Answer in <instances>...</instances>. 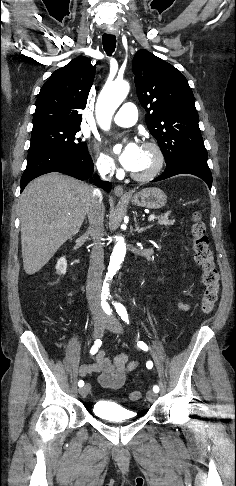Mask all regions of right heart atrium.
Listing matches in <instances>:
<instances>
[{
  "instance_id": "right-heart-atrium-1",
  "label": "right heart atrium",
  "mask_w": 236,
  "mask_h": 486,
  "mask_svg": "<svg viewBox=\"0 0 236 486\" xmlns=\"http://www.w3.org/2000/svg\"><path fill=\"white\" fill-rule=\"evenodd\" d=\"M94 160L97 170L103 175H111L116 171L114 160L99 147L94 148Z\"/></svg>"
}]
</instances>
